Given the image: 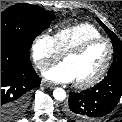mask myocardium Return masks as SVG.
I'll use <instances>...</instances> for the list:
<instances>
[{
    "mask_svg": "<svg viewBox=\"0 0 122 122\" xmlns=\"http://www.w3.org/2000/svg\"><path fill=\"white\" fill-rule=\"evenodd\" d=\"M100 42H104L108 46V56L106 58V61H105L104 65L102 66V68L100 69V71L91 79L84 81V82H74V86L78 89H87L92 86H95L104 78V76L106 75V73L111 65L112 59H113V55H114L113 43L111 42L110 39H108L106 37L92 38V39H88V40L82 42L81 44L69 49L68 51H66L63 54V60L68 56H78V55L82 54L83 52H85L92 45H95Z\"/></svg>",
    "mask_w": 122,
    "mask_h": 122,
    "instance_id": "f54148a6",
    "label": "myocardium"
}]
</instances>
